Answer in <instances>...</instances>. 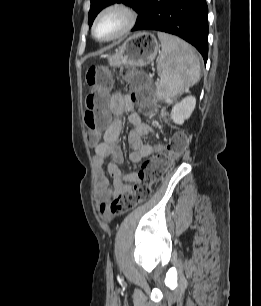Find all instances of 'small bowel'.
<instances>
[{
	"mask_svg": "<svg viewBox=\"0 0 261 306\" xmlns=\"http://www.w3.org/2000/svg\"><path fill=\"white\" fill-rule=\"evenodd\" d=\"M133 108L134 102L129 95L121 92H114L111 95L110 110L115 118L106 128L103 140L95 148V201L103 219L110 218L108 202L118 194L128 192L136 180L134 172L123 173L119 167L124 160L123 152L118 144L122 131L120 115L129 113V122L134 127L128 136L131 146L129 160L132 163H138L153 152L163 149L161 144L151 145L143 141V138L152 134L154 129L143 122L140 115L133 112Z\"/></svg>",
	"mask_w": 261,
	"mask_h": 306,
	"instance_id": "obj_1",
	"label": "small bowel"
}]
</instances>
